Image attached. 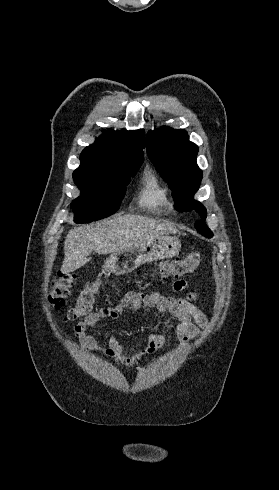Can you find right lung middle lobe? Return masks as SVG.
<instances>
[{
    "mask_svg": "<svg viewBox=\"0 0 279 490\" xmlns=\"http://www.w3.org/2000/svg\"><path fill=\"white\" fill-rule=\"evenodd\" d=\"M139 167L123 168L118 172L95 177L84 174H73L75 184L81 190V196L71 205L75 223H90L114 214L126 192L130 177Z\"/></svg>",
    "mask_w": 279,
    "mask_h": 490,
    "instance_id": "obj_1",
    "label": "right lung middle lobe"
}]
</instances>
